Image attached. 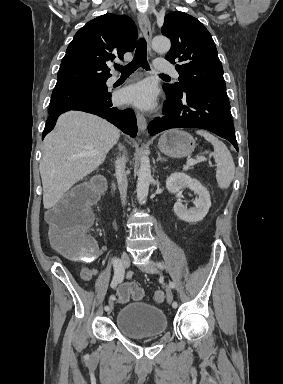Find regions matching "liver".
I'll return each mask as SVG.
<instances>
[{
    "label": "liver",
    "instance_id": "6515ba94",
    "mask_svg": "<svg viewBox=\"0 0 283 384\" xmlns=\"http://www.w3.org/2000/svg\"><path fill=\"white\" fill-rule=\"evenodd\" d=\"M120 130L92 114L66 112L43 142V206L50 210L74 184L103 164Z\"/></svg>",
    "mask_w": 283,
    "mask_h": 384
}]
</instances>
